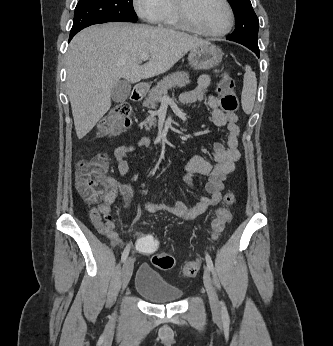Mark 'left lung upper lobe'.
<instances>
[{
    "mask_svg": "<svg viewBox=\"0 0 333 346\" xmlns=\"http://www.w3.org/2000/svg\"><path fill=\"white\" fill-rule=\"evenodd\" d=\"M236 17V28L227 37L231 41L246 47H258L259 21L252 8L250 0H228Z\"/></svg>",
    "mask_w": 333,
    "mask_h": 346,
    "instance_id": "1",
    "label": "left lung upper lobe"
}]
</instances>
